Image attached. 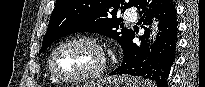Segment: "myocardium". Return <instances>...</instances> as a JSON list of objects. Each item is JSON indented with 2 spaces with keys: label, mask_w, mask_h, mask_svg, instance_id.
Returning <instances> with one entry per match:
<instances>
[{
  "label": "myocardium",
  "mask_w": 205,
  "mask_h": 87,
  "mask_svg": "<svg viewBox=\"0 0 205 87\" xmlns=\"http://www.w3.org/2000/svg\"><path fill=\"white\" fill-rule=\"evenodd\" d=\"M72 43H85V44L92 46L98 51V53L100 54V63L95 70L89 73H85L82 75H75V76H65V75L60 74L56 70L55 59H56L57 53L63 47H65L66 45L72 44ZM106 63H107L106 53L102 45L97 40L91 37L77 36V37L66 39L65 41L61 42L58 46L55 47V49L52 51L50 58H49V70H50L51 75L59 82H63V83L87 82V81H92V80L99 78L106 69Z\"/></svg>",
  "instance_id": "myocardium-1"
}]
</instances>
